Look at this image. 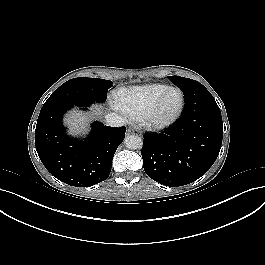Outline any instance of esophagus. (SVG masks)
<instances>
[{
    "label": "esophagus",
    "instance_id": "obj_1",
    "mask_svg": "<svg viewBox=\"0 0 265 265\" xmlns=\"http://www.w3.org/2000/svg\"><path fill=\"white\" fill-rule=\"evenodd\" d=\"M136 131H137V130H134V129H132V128H129V129L127 130V133H128V134H135Z\"/></svg>",
    "mask_w": 265,
    "mask_h": 265
}]
</instances>
